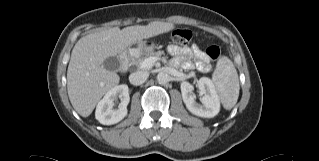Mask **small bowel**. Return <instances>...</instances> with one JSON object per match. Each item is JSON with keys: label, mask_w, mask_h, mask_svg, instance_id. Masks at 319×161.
I'll list each match as a JSON object with an SVG mask.
<instances>
[{"label": "small bowel", "mask_w": 319, "mask_h": 161, "mask_svg": "<svg viewBox=\"0 0 319 161\" xmlns=\"http://www.w3.org/2000/svg\"><path fill=\"white\" fill-rule=\"evenodd\" d=\"M168 52L173 57L172 65L174 66L181 65L185 70L197 69L201 72L210 70V64L205 53L197 45L191 47L171 45ZM192 58H195L194 62L191 61Z\"/></svg>", "instance_id": "c3829d8e"}]
</instances>
